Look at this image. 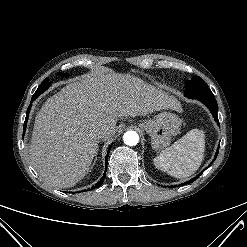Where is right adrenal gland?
Listing matches in <instances>:
<instances>
[{
	"label": "right adrenal gland",
	"instance_id": "2a0ac1e0",
	"mask_svg": "<svg viewBox=\"0 0 247 247\" xmlns=\"http://www.w3.org/2000/svg\"><path fill=\"white\" fill-rule=\"evenodd\" d=\"M96 162V157H95V161H94V163ZM94 163H93V165H94Z\"/></svg>",
	"mask_w": 247,
	"mask_h": 247
}]
</instances>
